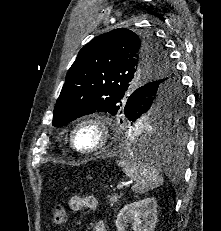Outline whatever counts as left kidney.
<instances>
[{"mask_svg": "<svg viewBox=\"0 0 221 231\" xmlns=\"http://www.w3.org/2000/svg\"><path fill=\"white\" fill-rule=\"evenodd\" d=\"M157 201L146 198L125 205L115 221L117 231H125L127 223L132 224L133 231H154L157 223Z\"/></svg>", "mask_w": 221, "mask_h": 231, "instance_id": "1", "label": "left kidney"}]
</instances>
